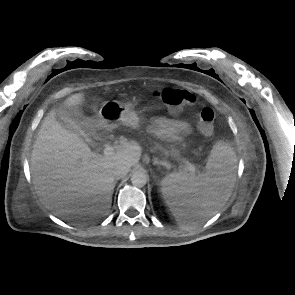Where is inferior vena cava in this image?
<instances>
[{"instance_id": "1", "label": "inferior vena cava", "mask_w": 295, "mask_h": 295, "mask_svg": "<svg viewBox=\"0 0 295 295\" xmlns=\"http://www.w3.org/2000/svg\"><path fill=\"white\" fill-rule=\"evenodd\" d=\"M130 171V166L125 163H118L113 169V176L115 178L124 177Z\"/></svg>"}]
</instances>
